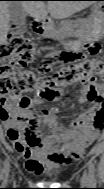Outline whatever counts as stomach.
I'll list each match as a JSON object with an SVG mask.
<instances>
[{
  "instance_id": "1",
  "label": "stomach",
  "mask_w": 104,
  "mask_h": 189,
  "mask_svg": "<svg viewBox=\"0 0 104 189\" xmlns=\"http://www.w3.org/2000/svg\"><path fill=\"white\" fill-rule=\"evenodd\" d=\"M102 21H103V12H102V3H98L94 7V11L91 14L90 18L87 20L80 21L76 26V32L73 34L78 37V39L74 41H70L67 43V47H73L74 45L80 43L84 40L87 36H92L99 29L102 28ZM63 29H47L45 31V35L49 37H53L55 39H63L66 35H70L73 28L71 24H67L63 26ZM68 29V30H66ZM70 31V32H69Z\"/></svg>"
}]
</instances>
